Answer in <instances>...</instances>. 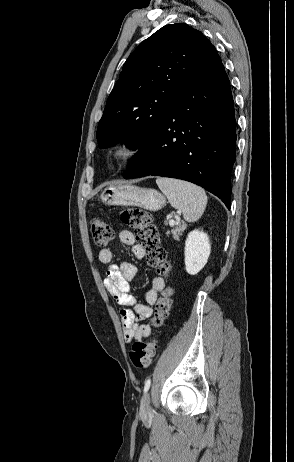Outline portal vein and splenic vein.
Segmentation results:
<instances>
[{"label": "portal vein and splenic vein", "mask_w": 294, "mask_h": 462, "mask_svg": "<svg viewBox=\"0 0 294 462\" xmlns=\"http://www.w3.org/2000/svg\"><path fill=\"white\" fill-rule=\"evenodd\" d=\"M169 224H170L171 226H173V225H175V221H174V220H169Z\"/></svg>", "instance_id": "1"}]
</instances>
